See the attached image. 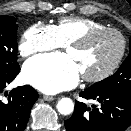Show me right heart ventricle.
<instances>
[{"mask_svg": "<svg viewBox=\"0 0 131 131\" xmlns=\"http://www.w3.org/2000/svg\"><path fill=\"white\" fill-rule=\"evenodd\" d=\"M103 27H106L103 23L84 17H64L54 25L57 37L62 45H67L91 30Z\"/></svg>", "mask_w": 131, "mask_h": 131, "instance_id": "1", "label": "right heart ventricle"}]
</instances>
